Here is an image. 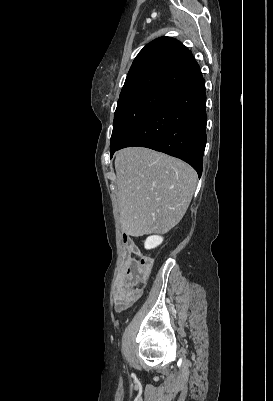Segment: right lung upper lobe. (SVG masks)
Here are the masks:
<instances>
[{
    "label": "right lung upper lobe",
    "mask_w": 273,
    "mask_h": 401,
    "mask_svg": "<svg viewBox=\"0 0 273 401\" xmlns=\"http://www.w3.org/2000/svg\"><path fill=\"white\" fill-rule=\"evenodd\" d=\"M201 75L188 48L174 38L160 37L136 56L120 98L144 92L168 95Z\"/></svg>",
    "instance_id": "obj_1"
}]
</instances>
